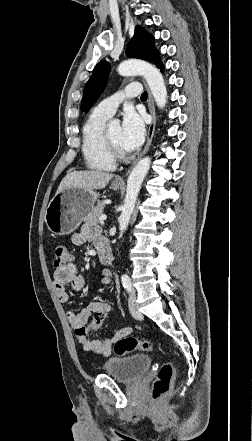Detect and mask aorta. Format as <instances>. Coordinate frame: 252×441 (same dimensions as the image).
Returning <instances> with one entry per match:
<instances>
[{
  "instance_id": "762f6f07",
  "label": "aorta",
  "mask_w": 252,
  "mask_h": 441,
  "mask_svg": "<svg viewBox=\"0 0 252 441\" xmlns=\"http://www.w3.org/2000/svg\"><path fill=\"white\" fill-rule=\"evenodd\" d=\"M118 73L122 76L142 75L151 90L157 106L161 109L165 107L167 103V90L162 74L156 67L141 60H127L119 64ZM114 123H119V121L116 120ZM150 164V157L141 159L128 177L124 205L118 219L121 234L128 227L142 182L149 171Z\"/></svg>"
}]
</instances>
